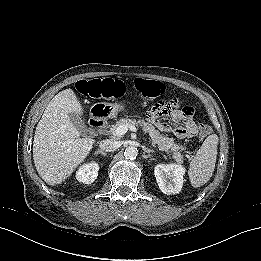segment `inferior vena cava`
<instances>
[{
    "label": "inferior vena cava",
    "mask_w": 261,
    "mask_h": 261,
    "mask_svg": "<svg viewBox=\"0 0 261 261\" xmlns=\"http://www.w3.org/2000/svg\"><path fill=\"white\" fill-rule=\"evenodd\" d=\"M98 144L100 151L111 152L117 148V142L110 139L101 140Z\"/></svg>",
    "instance_id": "1"
}]
</instances>
